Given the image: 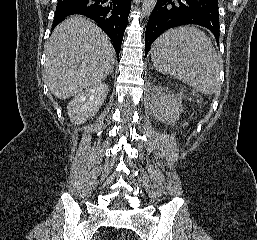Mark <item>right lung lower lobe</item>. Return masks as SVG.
<instances>
[{
	"label": "right lung lower lobe",
	"instance_id": "98d812e1",
	"mask_svg": "<svg viewBox=\"0 0 257 240\" xmlns=\"http://www.w3.org/2000/svg\"><path fill=\"white\" fill-rule=\"evenodd\" d=\"M130 8L131 0H58L52 29L69 15H84L109 36L119 57Z\"/></svg>",
	"mask_w": 257,
	"mask_h": 240
}]
</instances>
